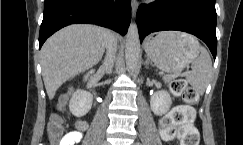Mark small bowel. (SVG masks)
<instances>
[{"label":"small bowel","instance_id":"obj_1","mask_svg":"<svg viewBox=\"0 0 243 145\" xmlns=\"http://www.w3.org/2000/svg\"><path fill=\"white\" fill-rule=\"evenodd\" d=\"M80 128L84 129L85 123L81 122ZM82 136L81 131H69L63 136L59 145H75L81 141Z\"/></svg>","mask_w":243,"mask_h":145}]
</instances>
